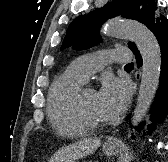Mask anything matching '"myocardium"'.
Listing matches in <instances>:
<instances>
[{"instance_id":"myocardium-1","label":"myocardium","mask_w":168,"mask_h":162,"mask_svg":"<svg viewBox=\"0 0 168 162\" xmlns=\"http://www.w3.org/2000/svg\"><path fill=\"white\" fill-rule=\"evenodd\" d=\"M90 88H80L72 101V110L75 118L78 120V122L83 125L86 129H97L100 127H103L105 125L104 122H97L92 119H90L84 110L83 105V98L84 94L87 90Z\"/></svg>"}]
</instances>
